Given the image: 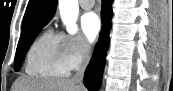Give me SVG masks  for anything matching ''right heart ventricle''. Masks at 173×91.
<instances>
[{
	"instance_id": "1",
	"label": "right heart ventricle",
	"mask_w": 173,
	"mask_h": 91,
	"mask_svg": "<svg viewBox=\"0 0 173 91\" xmlns=\"http://www.w3.org/2000/svg\"><path fill=\"white\" fill-rule=\"evenodd\" d=\"M26 71L40 78H62L69 75L70 69L62 53L60 36L46 31L34 42L27 55Z\"/></svg>"
}]
</instances>
